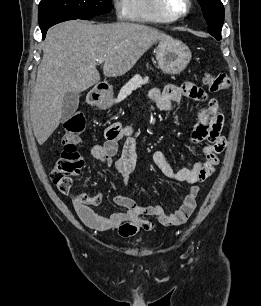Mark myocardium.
<instances>
[{
    "mask_svg": "<svg viewBox=\"0 0 261 306\" xmlns=\"http://www.w3.org/2000/svg\"><path fill=\"white\" fill-rule=\"evenodd\" d=\"M186 7L180 13H174L170 10L167 0H157L159 10L171 21L179 20L185 16H187L192 8L191 0H184Z\"/></svg>",
    "mask_w": 261,
    "mask_h": 306,
    "instance_id": "obj_1",
    "label": "myocardium"
}]
</instances>
